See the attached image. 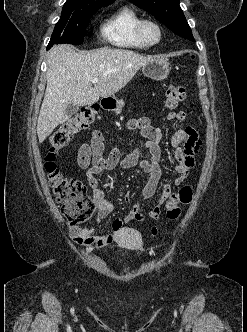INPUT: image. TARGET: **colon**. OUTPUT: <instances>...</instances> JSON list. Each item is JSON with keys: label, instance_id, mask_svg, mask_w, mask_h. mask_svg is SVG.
Returning a JSON list of instances; mask_svg holds the SVG:
<instances>
[{"label": "colon", "instance_id": "5ec220e1", "mask_svg": "<svg viewBox=\"0 0 247 332\" xmlns=\"http://www.w3.org/2000/svg\"><path fill=\"white\" fill-rule=\"evenodd\" d=\"M166 105L176 108L186 98V88L180 85H171L165 92ZM97 112L94 106L80 109L74 117L59 126L50 137V145L45 156L44 167L57 203L60 205L63 215L68 223L75 225L87 220L93 214L95 204L88 196L85 185L79 179L63 173L56 165L55 159L58 152L63 149L74 135L86 129L93 121ZM194 195L191 186H183L175 192H171L165 203L166 216L170 220H177L181 215V204H189ZM113 230L119 231L122 222L117 219L113 222ZM157 229L153 228V233Z\"/></svg>", "mask_w": 247, "mask_h": 332}]
</instances>
